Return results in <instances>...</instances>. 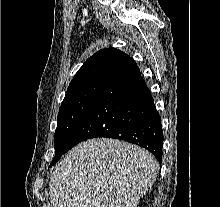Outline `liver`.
<instances>
[{
    "mask_svg": "<svg viewBox=\"0 0 220 207\" xmlns=\"http://www.w3.org/2000/svg\"><path fill=\"white\" fill-rule=\"evenodd\" d=\"M159 164L128 142L84 141L58 163L49 182L54 207H137L156 180Z\"/></svg>",
    "mask_w": 220,
    "mask_h": 207,
    "instance_id": "liver-1",
    "label": "liver"
}]
</instances>
